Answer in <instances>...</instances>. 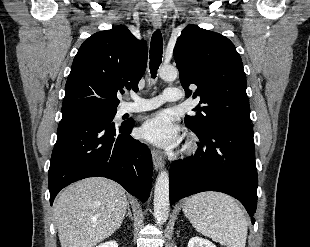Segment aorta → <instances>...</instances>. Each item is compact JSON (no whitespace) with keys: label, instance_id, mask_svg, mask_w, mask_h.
Returning a JSON list of instances; mask_svg holds the SVG:
<instances>
[{"label":"aorta","instance_id":"762f6f07","mask_svg":"<svg viewBox=\"0 0 310 247\" xmlns=\"http://www.w3.org/2000/svg\"><path fill=\"white\" fill-rule=\"evenodd\" d=\"M159 76L166 81H174L178 71L173 66H162L159 69ZM169 174L162 170L155 182L154 187V217L157 224H163L169 216Z\"/></svg>","mask_w":310,"mask_h":247}]
</instances>
